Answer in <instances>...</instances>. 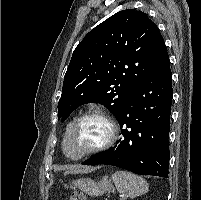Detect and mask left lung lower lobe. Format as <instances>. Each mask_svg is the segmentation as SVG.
<instances>
[{"label": "left lung lower lobe", "instance_id": "0a47b994", "mask_svg": "<svg viewBox=\"0 0 201 200\" xmlns=\"http://www.w3.org/2000/svg\"><path fill=\"white\" fill-rule=\"evenodd\" d=\"M172 73L166 52L122 106L117 120L122 138L117 145L84 161L106 164L140 175L168 178Z\"/></svg>", "mask_w": 201, "mask_h": 200}]
</instances>
